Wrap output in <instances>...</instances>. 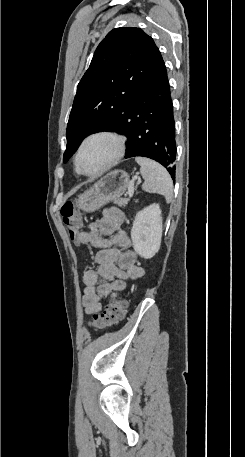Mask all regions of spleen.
Instances as JSON below:
<instances>
[{
    "label": "spleen",
    "instance_id": "1",
    "mask_svg": "<svg viewBox=\"0 0 245 457\" xmlns=\"http://www.w3.org/2000/svg\"><path fill=\"white\" fill-rule=\"evenodd\" d=\"M135 160L141 166L140 172L144 178L143 190L164 194L166 202H171L173 198V182L168 170L159 162H155L151 158H145V156H135Z\"/></svg>",
    "mask_w": 245,
    "mask_h": 457
}]
</instances>
